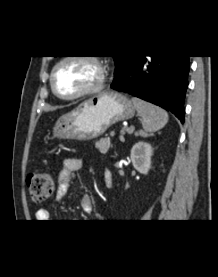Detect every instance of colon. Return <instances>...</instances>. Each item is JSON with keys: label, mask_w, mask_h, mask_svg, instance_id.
<instances>
[{"label": "colon", "mask_w": 218, "mask_h": 277, "mask_svg": "<svg viewBox=\"0 0 218 277\" xmlns=\"http://www.w3.org/2000/svg\"><path fill=\"white\" fill-rule=\"evenodd\" d=\"M29 195L34 203L46 201L54 191V179L46 172L31 173L27 181Z\"/></svg>", "instance_id": "colon-1"}]
</instances>
